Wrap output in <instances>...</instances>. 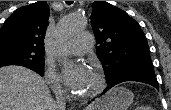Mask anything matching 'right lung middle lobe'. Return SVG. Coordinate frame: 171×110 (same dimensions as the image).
<instances>
[{"instance_id":"dd1d6c3e","label":"right lung middle lobe","mask_w":171,"mask_h":110,"mask_svg":"<svg viewBox=\"0 0 171 110\" xmlns=\"http://www.w3.org/2000/svg\"><path fill=\"white\" fill-rule=\"evenodd\" d=\"M44 56L45 50H36L10 42L0 43V67L25 66L43 76Z\"/></svg>"}]
</instances>
